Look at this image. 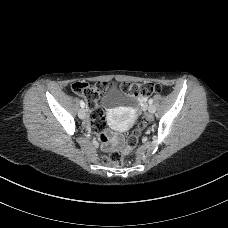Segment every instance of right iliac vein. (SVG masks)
Masks as SVG:
<instances>
[{
    "instance_id": "63e3f726",
    "label": "right iliac vein",
    "mask_w": 228,
    "mask_h": 228,
    "mask_svg": "<svg viewBox=\"0 0 228 228\" xmlns=\"http://www.w3.org/2000/svg\"><path fill=\"white\" fill-rule=\"evenodd\" d=\"M78 116H79L80 119H85V117H86V111L83 108H81L78 111Z\"/></svg>"
}]
</instances>
